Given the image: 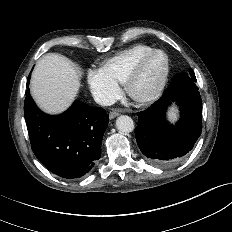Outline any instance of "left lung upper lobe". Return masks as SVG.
Here are the masks:
<instances>
[{
  "label": "left lung upper lobe",
  "mask_w": 232,
  "mask_h": 232,
  "mask_svg": "<svg viewBox=\"0 0 232 232\" xmlns=\"http://www.w3.org/2000/svg\"><path fill=\"white\" fill-rule=\"evenodd\" d=\"M179 78L181 79V82L184 86L186 85H194L196 86L197 79L195 77V74L192 69H189L187 73H181L178 74Z\"/></svg>",
  "instance_id": "obj_1"
}]
</instances>
